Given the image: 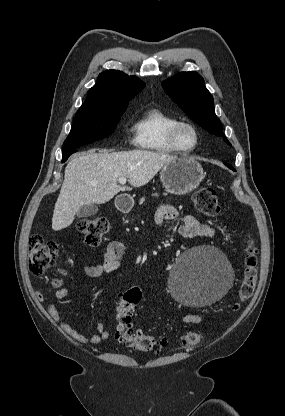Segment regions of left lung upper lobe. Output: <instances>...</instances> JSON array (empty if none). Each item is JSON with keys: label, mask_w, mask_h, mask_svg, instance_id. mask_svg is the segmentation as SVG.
<instances>
[{"label": "left lung upper lobe", "mask_w": 285, "mask_h": 416, "mask_svg": "<svg viewBox=\"0 0 285 416\" xmlns=\"http://www.w3.org/2000/svg\"><path fill=\"white\" fill-rule=\"evenodd\" d=\"M165 92L197 124L211 134L223 136L221 122L215 115L213 97L203 78L196 72H181L162 82Z\"/></svg>", "instance_id": "obj_1"}]
</instances>
